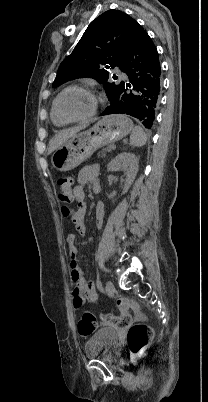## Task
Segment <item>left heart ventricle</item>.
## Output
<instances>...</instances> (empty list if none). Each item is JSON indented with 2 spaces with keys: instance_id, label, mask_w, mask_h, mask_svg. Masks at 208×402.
I'll return each instance as SVG.
<instances>
[{
  "instance_id": "b2bd125f",
  "label": "left heart ventricle",
  "mask_w": 208,
  "mask_h": 402,
  "mask_svg": "<svg viewBox=\"0 0 208 402\" xmlns=\"http://www.w3.org/2000/svg\"><path fill=\"white\" fill-rule=\"evenodd\" d=\"M96 101L94 94L79 89L64 93L59 100L60 110L68 117L76 118L89 113Z\"/></svg>"
}]
</instances>
